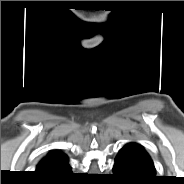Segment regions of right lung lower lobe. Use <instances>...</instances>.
<instances>
[{
  "label": "right lung lower lobe",
  "instance_id": "1",
  "mask_svg": "<svg viewBox=\"0 0 184 184\" xmlns=\"http://www.w3.org/2000/svg\"><path fill=\"white\" fill-rule=\"evenodd\" d=\"M36 174L46 180L50 184H64L72 177L71 166L67 157L54 163L43 171H36Z\"/></svg>",
  "mask_w": 184,
  "mask_h": 184
}]
</instances>
